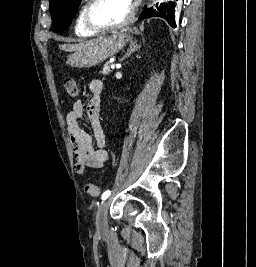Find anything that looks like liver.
<instances>
[{"mask_svg":"<svg viewBox=\"0 0 256 267\" xmlns=\"http://www.w3.org/2000/svg\"><path fill=\"white\" fill-rule=\"evenodd\" d=\"M102 38L98 40H88V42H81V44H64V46H59L60 50H65V52H82L85 50L86 46L90 44H98Z\"/></svg>","mask_w":256,"mask_h":267,"instance_id":"obj_1","label":"liver"}]
</instances>
